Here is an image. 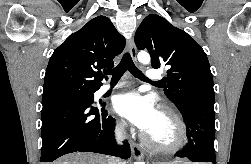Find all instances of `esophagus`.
<instances>
[{
	"label": "esophagus",
	"mask_w": 251,
	"mask_h": 164,
	"mask_svg": "<svg viewBox=\"0 0 251 164\" xmlns=\"http://www.w3.org/2000/svg\"><path fill=\"white\" fill-rule=\"evenodd\" d=\"M128 49H129V52H130V55H131L133 61L135 63H137V49H136L135 42H134L133 38H131L128 41ZM130 144H131V150H132V154H133L134 158L137 160H143L144 159V151L140 147V145L135 143L133 140H131Z\"/></svg>",
	"instance_id": "1"
}]
</instances>
